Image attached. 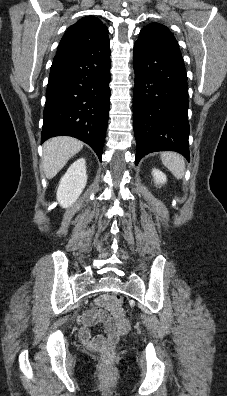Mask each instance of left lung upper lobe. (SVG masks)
Segmentation results:
<instances>
[{"label":"left lung upper lobe","instance_id":"5c2ea615","mask_svg":"<svg viewBox=\"0 0 227 396\" xmlns=\"http://www.w3.org/2000/svg\"><path fill=\"white\" fill-rule=\"evenodd\" d=\"M139 38L146 41H159L178 46V43L169 29L160 23H150L141 31Z\"/></svg>","mask_w":227,"mask_h":396}]
</instances>
